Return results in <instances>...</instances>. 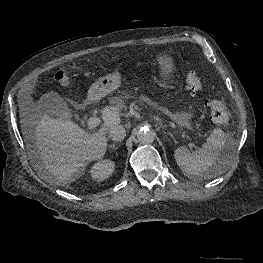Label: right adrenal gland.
Listing matches in <instances>:
<instances>
[{
    "mask_svg": "<svg viewBox=\"0 0 263 263\" xmlns=\"http://www.w3.org/2000/svg\"><path fill=\"white\" fill-rule=\"evenodd\" d=\"M109 148H110L112 151L118 149V147H116L115 144L109 145Z\"/></svg>",
    "mask_w": 263,
    "mask_h": 263,
    "instance_id": "right-adrenal-gland-1",
    "label": "right adrenal gland"
}]
</instances>
